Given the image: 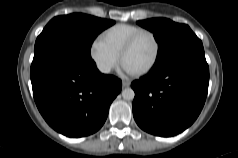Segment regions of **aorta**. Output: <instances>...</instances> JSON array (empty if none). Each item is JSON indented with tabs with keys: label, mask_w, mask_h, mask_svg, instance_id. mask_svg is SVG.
Masks as SVG:
<instances>
[{
	"label": "aorta",
	"mask_w": 238,
	"mask_h": 158,
	"mask_svg": "<svg viewBox=\"0 0 238 158\" xmlns=\"http://www.w3.org/2000/svg\"><path fill=\"white\" fill-rule=\"evenodd\" d=\"M135 96L134 90L132 88H125L122 91V97L125 100H133Z\"/></svg>",
	"instance_id": "762f6f07"
}]
</instances>
